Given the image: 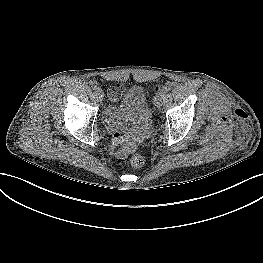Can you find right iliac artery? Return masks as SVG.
<instances>
[{"mask_svg": "<svg viewBox=\"0 0 263 263\" xmlns=\"http://www.w3.org/2000/svg\"><path fill=\"white\" fill-rule=\"evenodd\" d=\"M92 90H93V91H99V90H100V86H99V85H94V86L92 87Z\"/></svg>", "mask_w": 263, "mask_h": 263, "instance_id": "obj_1", "label": "right iliac artery"}]
</instances>
